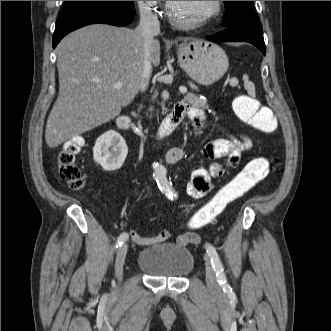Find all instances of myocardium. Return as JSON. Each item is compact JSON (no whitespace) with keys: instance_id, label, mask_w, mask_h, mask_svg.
I'll return each instance as SVG.
<instances>
[{"instance_id":"obj_1","label":"myocardium","mask_w":331,"mask_h":331,"mask_svg":"<svg viewBox=\"0 0 331 331\" xmlns=\"http://www.w3.org/2000/svg\"><path fill=\"white\" fill-rule=\"evenodd\" d=\"M222 10V1H213V7L210 12L204 14L203 16L192 20V21H181L177 19L173 12H172V6L171 2L167 1L166 3V15L171 23H173L175 26L186 28V27H199L203 24H206L216 18Z\"/></svg>"}]
</instances>
